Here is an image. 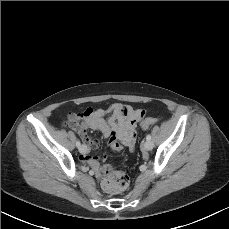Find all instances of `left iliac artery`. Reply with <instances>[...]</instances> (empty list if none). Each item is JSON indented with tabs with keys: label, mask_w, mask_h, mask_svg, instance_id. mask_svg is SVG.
<instances>
[{
	"label": "left iliac artery",
	"mask_w": 229,
	"mask_h": 229,
	"mask_svg": "<svg viewBox=\"0 0 229 229\" xmlns=\"http://www.w3.org/2000/svg\"><path fill=\"white\" fill-rule=\"evenodd\" d=\"M146 139H147V140H151V135L148 134V135L146 136Z\"/></svg>",
	"instance_id": "obj_1"
}]
</instances>
